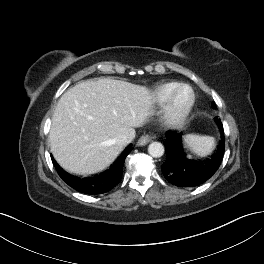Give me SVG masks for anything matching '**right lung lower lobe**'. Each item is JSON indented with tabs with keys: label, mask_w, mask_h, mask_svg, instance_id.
Listing matches in <instances>:
<instances>
[{
	"label": "right lung lower lobe",
	"mask_w": 264,
	"mask_h": 264,
	"mask_svg": "<svg viewBox=\"0 0 264 264\" xmlns=\"http://www.w3.org/2000/svg\"><path fill=\"white\" fill-rule=\"evenodd\" d=\"M132 145H129L109 170L101 175L91 178H77L64 172L53 160V164L64 182L75 190L85 194H102L115 187L121 180L123 164L126 156L131 152Z\"/></svg>",
	"instance_id": "obj_1"
}]
</instances>
